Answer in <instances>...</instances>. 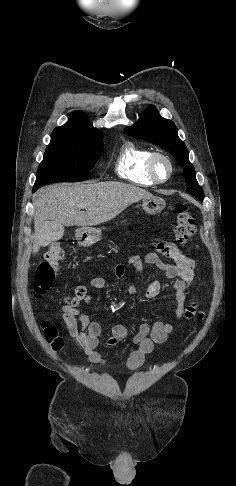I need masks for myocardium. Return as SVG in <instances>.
Instances as JSON below:
<instances>
[{"instance_id": "f54148a6", "label": "myocardium", "mask_w": 236, "mask_h": 486, "mask_svg": "<svg viewBox=\"0 0 236 486\" xmlns=\"http://www.w3.org/2000/svg\"><path fill=\"white\" fill-rule=\"evenodd\" d=\"M159 159L164 160L168 165V174L165 178H160L156 173L155 164H156V161L159 160ZM146 171H147L148 176L151 178V180L154 183H157V184L165 183L173 175V172H174L173 162H172L171 158L163 152H152L147 159Z\"/></svg>"}]
</instances>
